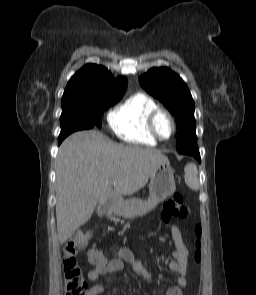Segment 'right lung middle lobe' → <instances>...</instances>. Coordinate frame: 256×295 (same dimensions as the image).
<instances>
[{"mask_svg": "<svg viewBox=\"0 0 256 295\" xmlns=\"http://www.w3.org/2000/svg\"><path fill=\"white\" fill-rule=\"evenodd\" d=\"M122 97L123 95L100 98L62 107V114L60 117L61 132L59 138H65L70 133L77 130L91 129L93 127L101 128L102 113L110 106L117 103ZM86 119L91 121V125H86Z\"/></svg>", "mask_w": 256, "mask_h": 295, "instance_id": "1", "label": "right lung middle lobe"}]
</instances>
